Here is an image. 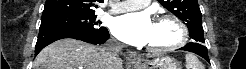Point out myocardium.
<instances>
[{"instance_id": "myocardium-1", "label": "myocardium", "mask_w": 246, "mask_h": 69, "mask_svg": "<svg viewBox=\"0 0 246 69\" xmlns=\"http://www.w3.org/2000/svg\"><path fill=\"white\" fill-rule=\"evenodd\" d=\"M154 21L155 22L156 21H169L173 23L178 30L179 37L174 43L170 45H165V46L148 45L147 46L148 49L153 50V51H158V52L170 51V50L178 49L186 44L188 40V30L185 24L179 18H177L176 16L172 14H162V15L157 16Z\"/></svg>"}]
</instances>
